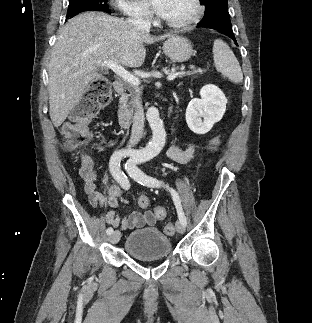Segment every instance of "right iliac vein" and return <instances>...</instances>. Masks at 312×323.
<instances>
[{
	"label": "right iliac vein",
	"instance_id": "1",
	"mask_svg": "<svg viewBox=\"0 0 312 323\" xmlns=\"http://www.w3.org/2000/svg\"><path fill=\"white\" fill-rule=\"evenodd\" d=\"M119 239H120V231L119 230L114 231L109 237L110 242H112L113 244L117 243L119 241Z\"/></svg>",
	"mask_w": 312,
	"mask_h": 323
}]
</instances>
